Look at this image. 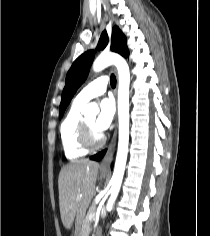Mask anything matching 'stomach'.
I'll use <instances>...</instances> for the list:
<instances>
[{
    "label": "stomach",
    "mask_w": 210,
    "mask_h": 236,
    "mask_svg": "<svg viewBox=\"0 0 210 236\" xmlns=\"http://www.w3.org/2000/svg\"><path fill=\"white\" fill-rule=\"evenodd\" d=\"M102 177H105V175H104V174H102Z\"/></svg>",
    "instance_id": "0dacf381"
}]
</instances>
